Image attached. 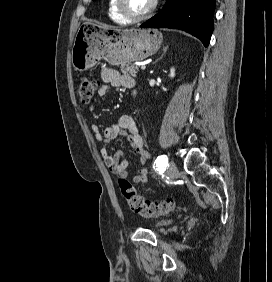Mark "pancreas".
Instances as JSON below:
<instances>
[{
  "instance_id": "pancreas-1",
  "label": "pancreas",
  "mask_w": 272,
  "mask_h": 282,
  "mask_svg": "<svg viewBox=\"0 0 272 282\" xmlns=\"http://www.w3.org/2000/svg\"><path fill=\"white\" fill-rule=\"evenodd\" d=\"M120 71L124 74V75H128V76H132V77H136L137 73L139 71V67L136 65H129V64H122L120 67Z\"/></svg>"
}]
</instances>
